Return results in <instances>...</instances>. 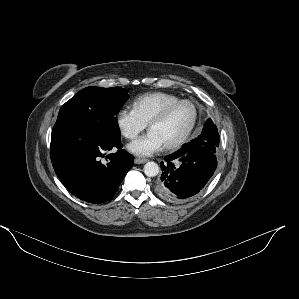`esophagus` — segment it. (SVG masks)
<instances>
[{
  "instance_id": "esophagus-1",
  "label": "esophagus",
  "mask_w": 299,
  "mask_h": 299,
  "mask_svg": "<svg viewBox=\"0 0 299 299\" xmlns=\"http://www.w3.org/2000/svg\"><path fill=\"white\" fill-rule=\"evenodd\" d=\"M147 161H148V159H146V158H135L134 159L135 164H143Z\"/></svg>"
}]
</instances>
